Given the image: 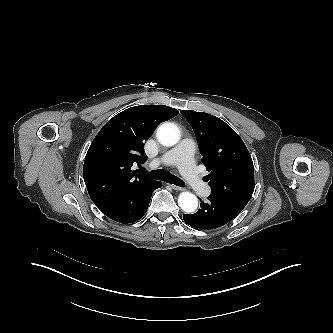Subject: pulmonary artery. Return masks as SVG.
Returning <instances> with one entry per match:
<instances>
[{
    "instance_id": "obj_1",
    "label": "pulmonary artery",
    "mask_w": 333,
    "mask_h": 333,
    "mask_svg": "<svg viewBox=\"0 0 333 333\" xmlns=\"http://www.w3.org/2000/svg\"><path fill=\"white\" fill-rule=\"evenodd\" d=\"M195 145L189 139L182 140L176 147L166 152L153 165H176L190 187L199 195L207 196L210 188L202 181L193 159Z\"/></svg>"
}]
</instances>
